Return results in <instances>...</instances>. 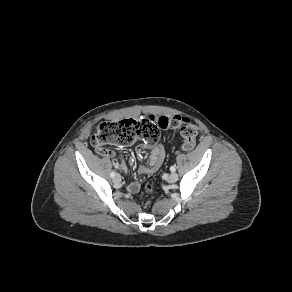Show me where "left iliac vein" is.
Returning a JSON list of instances; mask_svg holds the SVG:
<instances>
[{
    "mask_svg": "<svg viewBox=\"0 0 292 292\" xmlns=\"http://www.w3.org/2000/svg\"><path fill=\"white\" fill-rule=\"evenodd\" d=\"M177 180H178V174L175 172L171 173L167 178V181L169 183H175Z\"/></svg>",
    "mask_w": 292,
    "mask_h": 292,
    "instance_id": "left-iliac-vein-1",
    "label": "left iliac vein"
}]
</instances>
